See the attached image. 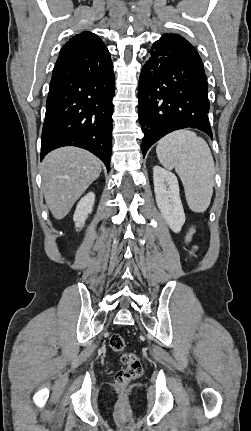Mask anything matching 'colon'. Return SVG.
<instances>
[{"label": "colon", "mask_w": 251, "mask_h": 431, "mask_svg": "<svg viewBox=\"0 0 251 431\" xmlns=\"http://www.w3.org/2000/svg\"><path fill=\"white\" fill-rule=\"evenodd\" d=\"M109 345L116 353H122L125 349V340L119 334L110 337ZM123 367L115 373V383L125 388L132 380L139 378L143 373V366L138 356L133 353H124L121 356Z\"/></svg>", "instance_id": "colon-1"}]
</instances>
